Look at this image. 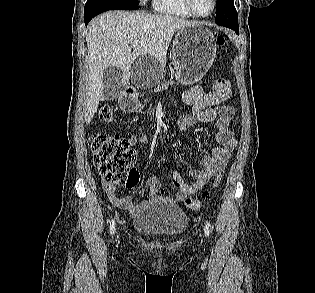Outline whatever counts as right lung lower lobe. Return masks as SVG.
I'll list each match as a JSON object with an SVG mask.
<instances>
[{
	"label": "right lung lower lobe",
	"instance_id": "obj_1",
	"mask_svg": "<svg viewBox=\"0 0 315 293\" xmlns=\"http://www.w3.org/2000/svg\"><path fill=\"white\" fill-rule=\"evenodd\" d=\"M139 6L123 4L116 0H88L85 5L84 21L85 25L96 15L108 10H134Z\"/></svg>",
	"mask_w": 315,
	"mask_h": 293
}]
</instances>
